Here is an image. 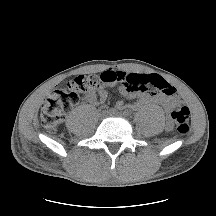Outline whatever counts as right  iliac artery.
Returning <instances> with one entry per match:
<instances>
[{
  "mask_svg": "<svg viewBox=\"0 0 216 216\" xmlns=\"http://www.w3.org/2000/svg\"><path fill=\"white\" fill-rule=\"evenodd\" d=\"M109 112H110L111 114H114V113L116 112V109L111 108V109H109Z\"/></svg>",
  "mask_w": 216,
  "mask_h": 216,
  "instance_id": "right-iliac-artery-1",
  "label": "right iliac artery"
}]
</instances>
